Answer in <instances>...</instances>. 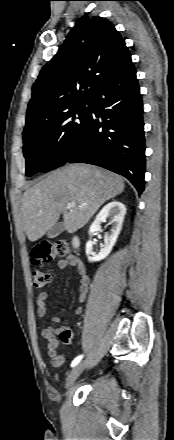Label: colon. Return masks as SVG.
I'll list each match as a JSON object with an SVG mask.
<instances>
[{"instance_id": "obj_1", "label": "colon", "mask_w": 174, "mask_h": 440, "mask_svg": "<svg viewBox=\"0 0 174 440\" xmlns=\"http://www.w3.org/2000/svg\"><path fill=\"white\" fill-rule=\"evenodd\" d=\"M70 254L69 245L65 242H46L38 245L31 251V259L35 264L47 263L56 257H66ZM33 285L36 288H43L49 284L51 275L43 270L34 269L32 272ZM67 329L62 332L63 337L70 336Z\"/></svg>"}]
</instances>
